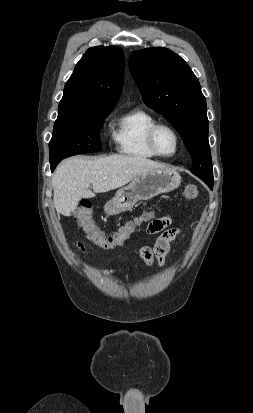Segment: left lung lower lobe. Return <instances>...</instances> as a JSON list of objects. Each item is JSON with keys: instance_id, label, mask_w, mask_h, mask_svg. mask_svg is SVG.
Wrapping results in <instances>:
<instances>
[{"instance_id": "obj_1", "label": "left lung lower lobe", "mask_w": 253, "mask_h": 413, "mask_svg": "<svg viewBox=\"0 0 253 413\" xmlns=\"http://www.w3.org/2000/svg\"><path fill=\"white\" fill-rule=\"evenodd\" d=\"M201 180H203L209 186L211 190L213 189V178L211 179L201 178Z\"/></svg>"}]
</instances>
